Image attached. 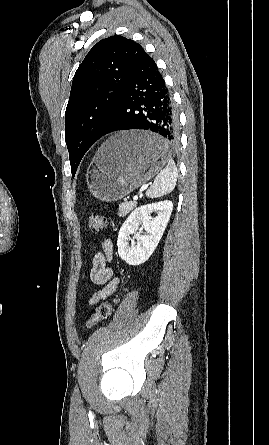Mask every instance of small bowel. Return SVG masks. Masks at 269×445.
<instances>
[{"label": "small bowel", "instance_id": "1", "mask_svg": "<svg viewBox=\"0 0 269 445\" xmlns=\"http://www.w3.org/2000/svg\"><path fill=\"white\" fill-rule=\"evenodd\" d=\"M103 251L97 252L92 259L90 271L91 281L101 286L89 299V304L94 305L112 295L118 288L119 279L114 277L113 270L108 263L112 258V243L105 240L102 244Z\"/></svg>", "mask_w": 269, "mask_h": 445}]
</instances>
